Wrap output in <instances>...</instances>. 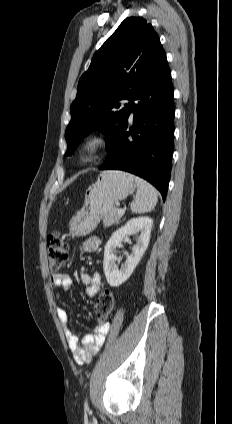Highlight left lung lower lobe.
<instances>
[{
	"label": "left lung lower lobe",
	"mask_w": 232,
	"mask_h": 424,
	"mask_svg": "<svg viewBox=\"0 0 232 424\" xmlns=\"http://www.w3.org/2000/svg\"><path fill=\"white\" fill-rule=\"evenodd\" d=\"M134 100L136 103H134ZM134 113L129 131L128 117ZM174 140V90L166 57L132 97L100 170H123L153 184L165 201Z\"/></svg>",
	"instance_id": "left-lung-lower-lobe-1"
}]
</instances>
